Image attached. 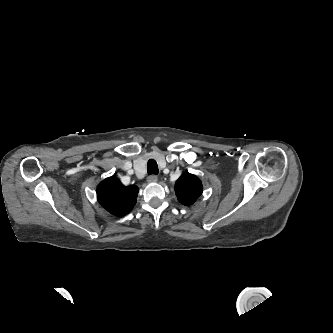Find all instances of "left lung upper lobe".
<instances>
[{"label":"left lung upper lobe","mask_w":333,"mask_h":333,"mask_svg":"<svg viewBox=\"0 0 333 333\" xmlns=\"http://www.w3.org/2000/svg\"><path fill=\"white\" fill-rule=\"evenodd\" d=\"M202 183L200 179L190 173H183L175 184L178 200L186 206L192 205L202 194Z\"/></svg>","instance_id":"5c2ea615"}]
</instances>
